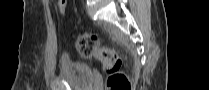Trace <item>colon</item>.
Returning <instances> with one entry per match:
<instances>
[{
	"instance_id": "colon-1",
	"label": "colon",
	"mask_w": 209,
	"mask_h": 90,
	"mask_svg": "<svg viewBox=\"0 0 209 90\" xmlns=\"http://www.w3.org/2000/svg\"><path fill=\"white\" fill-rule=\"evenodd\" d=\"M66 7L67 0L58 1V9L62 15L65 14ZM75 43L80 56L102 62L104 70L109 75L107 80L109 90H131L128 78L121 71V57L115 50L102 46L98 36L92 33L78 34Z\"/></svg>"
}]
</instances>
